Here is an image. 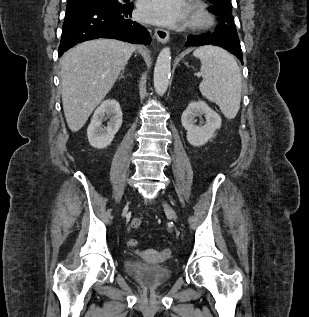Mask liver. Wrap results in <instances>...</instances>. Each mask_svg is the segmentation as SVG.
Returning <instances> with one entry per match:
<instances>
[{
  "label": "liver",
  "instance_id": "liver-1",
  "mask_svg": "<svg viewBox=\"0 0 309 317\" xmlns=\"http://www.w3.org/2000/svg\"><path fill=\"white\" fill-rule=\"evenodd\" d=\"M136 47L114 39L80 43L61 61V94L68 127L79 131L113 87Z\"/></svg>",
  "mask_w": 309,
  "mask_h": 317
}]
</instances>
